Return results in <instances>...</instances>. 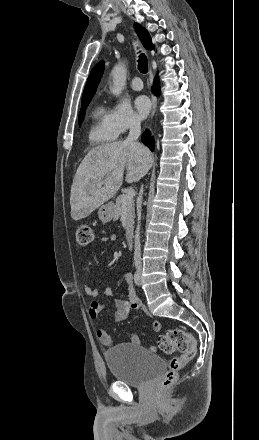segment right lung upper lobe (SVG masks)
<instances>
[{"instance_id":"cb5924a9","label":"right lung upper lobe","mask_w":259,"mask_h":440,"mask_svg":"<svg viewBox=\"0 0 259 440\" xmlns=\"http://www.w3.org/2000/svg\"><path fill=\"white\" fill-rule=\"evenodd\" d=\"M134 28L143 46L146 49L151 50L154 46L152 44V40L148 31L138 23L134 24ZM103 71H104V61H100L94 66L88 77L86 86L83 91L82 100L92 98L94 96L97 86L103 75Z\"/></svg>"}]
</instances>
